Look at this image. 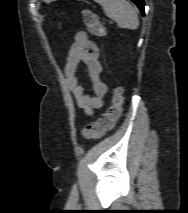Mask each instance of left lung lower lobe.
Returning a JSON list of instances; mask_svg holds the SVG:
<instances>
[{
	"label": "left lung lower lobe",
	"instance_id": "left-lung-lower-lobe-1",
	"mask_svg": "<svg viewBox=\"0 0 188 213\" xmlns=\"http://www.w3.org/2000/svg\"><path fill=\"white\" fill-rule=\"evenodd\" d=\"M141 10L142 14H144V0H132Z\"/></svg>",
	"mask_w": 188,
	"mask_h": 213
}]
</instances>
